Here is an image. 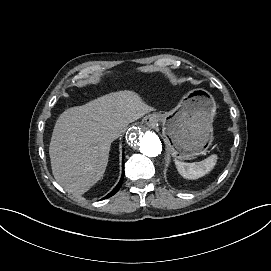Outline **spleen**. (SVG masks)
Returning <instances> with one entry per match:
<instances>
[{"instance_id":"3e777b00","label":"spleen","mask_w":271,"mask_h":271,"mask_svg":"<svg viewBox=\"0 0 271 271\" xmlns=\"http://www.w3.org/2000/svg\"><path fill=\"white\" fill-rule=\"evenodd\" d=\"M217 161V155L213 154L208 158L193 163H186L181 161H175L178 172L185 178L197 179L210 172Z\"/></svg>"}]
</instances>
